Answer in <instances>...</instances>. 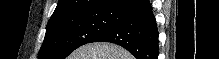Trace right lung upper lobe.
<instances>
[{
    "label": "right lung upper lobe",
    "mask_w": 219,
    "mask_h": 59,
    "mask_svg": "<svg viewBox=\"0 0 219 59\" xmlns=\"http://www.w3.org/2000/svg\"><path fill=\"white\" fill-rule=\"evenodd\" d=\"M123 0H59L50 20L86 11L112 9Z\"/></svg>",
    "instance_id": "cb5924a9"
}]
</instances>
